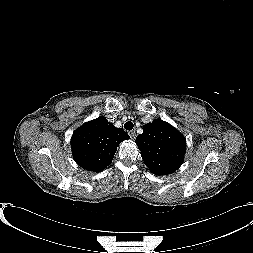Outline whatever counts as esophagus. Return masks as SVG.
Masks as SVG:
<instances>
[{
    "mask_svg": "<svg viewBox=\"0 0 253 253\" xmlns=\"http://www.w3.org/2000/svg\"><path fill=\"white\" fill-rule=\"evenodd\" d=\"M129 135L132 139H134L136 137V132L135 131H130Z\"/></svg>",
    "mask_w": 253,
    "mask_h": 253,
    "instance_id": "1",
    "label": "esophagus"
}]
</instances>
